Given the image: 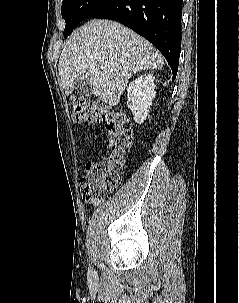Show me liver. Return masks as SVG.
<instances>
[{
	"label": "liver",
	"instance_id": "liver-1",
	"mask_svg": "<svg viewBox=\"0 0 239 303\" xmlns=\"http://www.w3.org/2000/svg\"><path fill=\"white\" fill-rule=\"evenodd\" d=\"M163 64L153 45L131 29L114 21L92 20L66 41L58 70L66 95L78 82L89 80L92 94L116 106L133 74L161 69Z\"/></svg>",
	"mask_w": 239,
	"mask_h": 303
}]
</instances>
